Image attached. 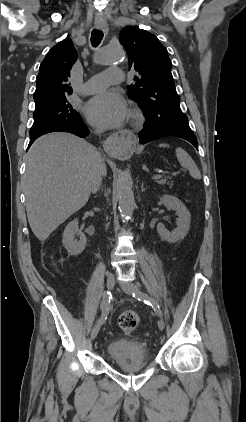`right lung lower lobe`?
Wrapping results in <instances>:
<instances>
[{"instance_id":"98d812e1","label":"right lung lower lobe","mask_w":246,"mask_h":422,"mask_svg":"<svg viewBox=\"0 0 246 422\" xmlns=\"http://www.w3.org/2000/svg\"><path fill=\"white\" fill-rule=\"evenodd\" d=\"M50 132H69L72 134H75L79 137H85L86 135H88V129L85 126L83 120L81 119L80 121H78L75 124L72 125H56V126H52L49 127L45 130H42L40 132H37L35 134L30 135V142L28 145V148L32 145V143L40 136L50 133Z\"/></svg>"}]
</instances>
